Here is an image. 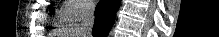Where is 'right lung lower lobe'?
I'll return each mask as SVG.
<instances>
[{"mask_svg": "<svg viewBox=\"0 0 219 37\" xmlns=\"http://www.w3.org/2000/svg\"><path fill=\"white\" fill-rule=\"evenodd\" d=\"M120 3L121 0H101L97 4L95 23L92 30L94 37H107L114 24L116 11Z\"/></svg>", "mask_w": 219, "mask_h": 37, "instance_id": "1", "label": "right lung lower lobe"}]
</instances>
